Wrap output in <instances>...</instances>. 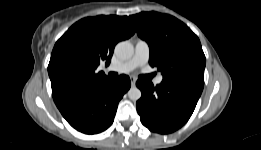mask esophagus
Wrapping results in <instances>:
<instances>
[{
  "label": "esophagus",
  "mask_w": 261,
  "mask_h": 150,
  "mask_svg": "<svg viewBox=\"0 0 261 150\" xmlns=\"http://www.w3.org/2000/svg\"><path fill=\"white\" fill-rule=\"evenodd\" d=\"M131 85H132V87H134L136 85V79L135 78H131Z\"/></svg>",
  "instance_id": "34e87169"
}]
</instances>
